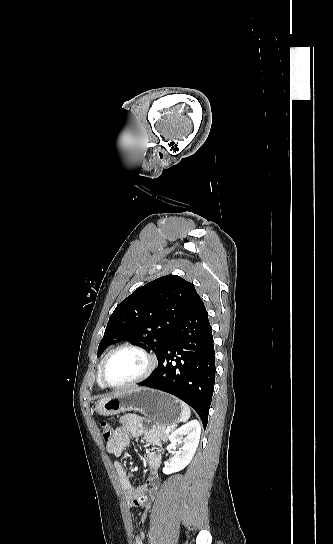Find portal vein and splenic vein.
Instances as JSON below:
<instances>
[{"mask_svg": "<svg viewBox=\"0 0 333 544\" xmlns=\"http://www.w3.org/2000/svg\"><path fill=\"white\" fill-rule=\"evenodd\" d=\"M165 432H166V433H169V432H170V429H169V428H167V429L165 430Z\"/></svg>", "mask_w": 333, "mask_h": 544, "instance_id": "1", "label": "portal vein and splenic vein"}]
</instances>
